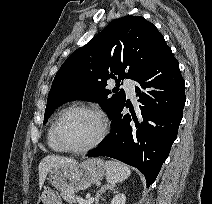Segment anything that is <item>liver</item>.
Returning <instances> with one entry per match:
<instances>
[{
	"mask_svg": "<svg viewBox=\"0 0 212 204\" xmlns=\"http://www.w3.org/2000/svg\"><path fill=\"white\" fill-rule=\"evenodd\" d=\"M74 160L67 157H60L55 155H48L44 157L39 163V188L41 189L48 172L56 165L73 162Z\"/></svg>",
	"mask_w": 212,
	"mask_h": 204,
	"instance_id": "6515ba94",
	"label": "liver"
}]
</instances>
